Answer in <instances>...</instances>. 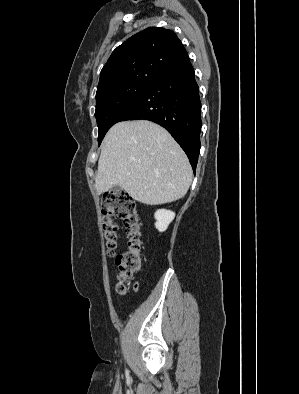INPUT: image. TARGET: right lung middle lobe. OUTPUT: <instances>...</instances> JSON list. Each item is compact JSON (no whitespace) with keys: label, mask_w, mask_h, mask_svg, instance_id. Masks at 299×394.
<instances>
[{"label":"right lung middle lobe","mask_w":299,"mask_h":394,"mask_svg":"<svg viewBox=\"0 0 299 394\" xmlns=\"http://www.w3.org/2000/svg\"><path fill=\"white\" fill-rule=\"evenodd\" d=\"M150 85L151 83L130 82L96 95L95 117L99 129V145L109 128L118 122L125 111Z\"/></svg>","instance_id":"obj_1"}]
</instances>
